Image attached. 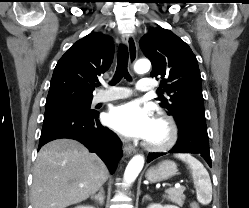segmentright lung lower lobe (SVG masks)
Wrapping results in <instances>:
<instances>
[{
  "label": "right lung lower lobe",
  "mask_w": 249,
  "mask_h": 208,
  "mask_svg": "<svg viewBox=\"0 0 249 208\" xmlns=\"http://www.w3.org/2000/svg\"><path fill=\"white\" fill-rule=\"evenodd\" d=\"M98 117L96 111L88 113L75 109H46L38 150L55 139H75L96 153L113 173L123 154L122 143L115 133L101 125Z\"/></svg>",
  "instance_id": "1"
}]
</instances>
